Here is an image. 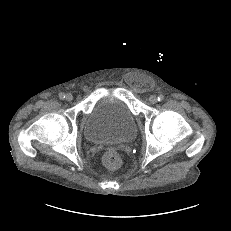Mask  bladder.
<instances>
[{"label": "bladder", "instance_id": "1", "mask_svg": "<svg viewBox=\"0 0 231 231\" xmlns=\"http://www.w3.org/2000/svg\"><path fill=\"white\" fill-rule=\"evenodd\" d=\"M83 132L92 144L123 145L136 139L138 127L135 116L124 102L105 97L88 113Z\"/></svg>", "mask_w": 231, "mask_h": 231}]
</instances>
